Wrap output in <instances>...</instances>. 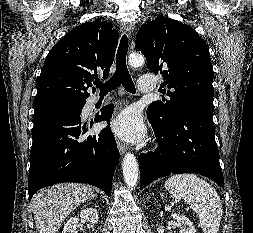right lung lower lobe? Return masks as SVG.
<instances>
[{
  "label": "right lung lower lobe",
  "mask_w": 253,
  "mask_h": 233,
  "mask_svg": "<svg viewBox=\"0 0 253 233\" xmlns=\"http://www.w3.org/2000/svg\"><path fill=\"white\" fill-rule=\"evenodd\" d=\"M83 106L54 105L34 112L29 200L39 189L60 182L91 184L110 195L119 151L109 126L97 135H85L93 120L90 126L81 122ZM113 110L112 104L106 105L94 121L109 122Z\"/></svg>",
  "instance_id": "98d812e1"
}]
</instances>
